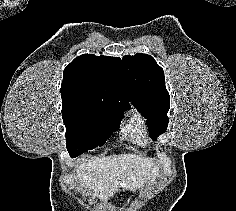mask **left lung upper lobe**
<instances>
[{
    "label": "left lung upper lobe",
    "instance_id": "obj_1",
    "mask_svg": "<svg viewBox=\"0 0 236 211\" xmlns=\"http://www.w3.org/2000/svg\"><path fill=\"white\" fill-rule=\"evenodd\" d=\"M122 65L130 92V101L146 118L151 136L156 139L167 129L170 96L163 69L147 54L126 55Z\"/></svg>",
    "mask_w": 236,
    "mask_h": 211
}]
</instances>
